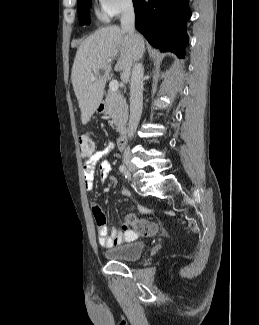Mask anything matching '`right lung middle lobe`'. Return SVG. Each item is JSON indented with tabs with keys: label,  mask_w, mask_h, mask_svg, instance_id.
<instances>
[{
	"label": "right lung middle lobe",
	"mask_w": 259,
	"mask_h": 325,
	"mask_svg": "<svg viewBox=\"0 0 259 325\" xmlns=\"http://www.w3.org/2000/svg\"><path fill=\"white\" fill-rule=\"evenodd\" d=\"M91 0H78V15L81 25H89V10H90Z\"/></svg>",
	"instance_id": "1"
}]
</instances>
